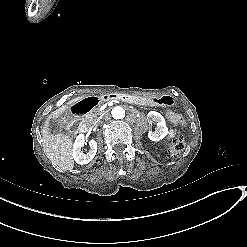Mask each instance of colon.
I'll list each match as a JSON object with an SVG mask.
<instances>
[{
    "instance_id": "obj_1",
    "label": "colon",
    "mask_w": 247,
    "mask_h": 247,
    "mask_svg": "<svg viewBox=\"0 0 247 247\" xmlns=\"http://www.w3.org/2000/svg\"><path fill=\"white\" fill-rule=\"evenodd\" d=\"M168 119L171 122L176 121L177 124L183 125L186 121V117L182 113L171 112L168 115ZM185 149V141L181 136H176L173 139L172 145L169 149V155L172 158L178 157Z\"/></svg>"
}]
</instances>
